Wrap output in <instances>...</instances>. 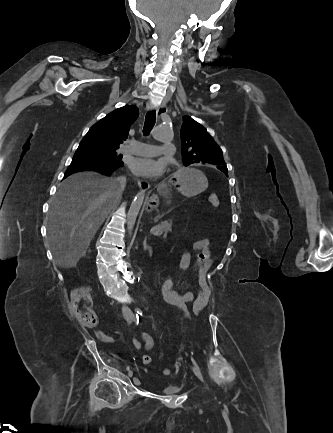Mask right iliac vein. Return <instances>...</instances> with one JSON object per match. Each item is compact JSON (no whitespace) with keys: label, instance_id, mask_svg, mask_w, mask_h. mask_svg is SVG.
Here are the masks:
<instances>
[{"label":"right iliac vein","instance_id":"right-iliac-vein-1","mask_svg":"<svg viewBox=\"0 0 333 433\" xmlns=\"http://www.w3.org/2000/svg\"><path fill=\"white\" fill-rule=\"evenodd\" d=\"M128 376H129V377H132V376H133V371H132V370H130V371L128 372ZM133 381H134V383H135L136 385H139V384H140V381H139L138 378H134Z\"/></svg>","mask_w":333,"mask_h":433}]
</instances>
